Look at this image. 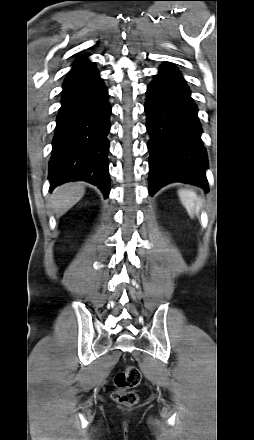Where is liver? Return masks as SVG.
Returning a JSON list of instances; mask_svg holds the SVG:
<instances>
[{
    "mask_svg": "<svg viewBox=\"0 0 254 440\" xmlns=\"http://www.w3.org/2000/svg\"><path fill=\"white\" fill-rule=\"evenodd\" d=\"M85 194L83 183H66L56 187L50 196V207L57 216L72 208Z\"/></svg>",
    "mask_w": 254,
    "mask_h": 440,
    "instance_id": "1",
    "label": "liver"
}]
</instances>
